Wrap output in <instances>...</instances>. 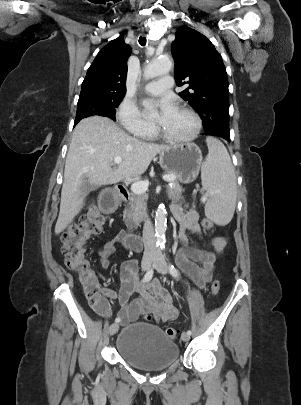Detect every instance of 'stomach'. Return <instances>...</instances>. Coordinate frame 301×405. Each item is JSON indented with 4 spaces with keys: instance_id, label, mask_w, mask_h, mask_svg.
I'll return each mask as SVG.
<instances>
[{
    "instance_id": "0dacf381",
    "label": "stomach",
    "mask_w": 301,
    "mask_h": 405,
    "mask_svg": "<svg viewBox=\"0 0 301 405\" xmlns=\"http://www.w3.org/2000/svg\"><path fill=\"white\" fill-rule=\"evenodd\" d=\"M160 166L170 174H175L183 184L193 182L202 166V152L192 142L177 144L159 153Z\"/></svg>"
}]
</instances>
